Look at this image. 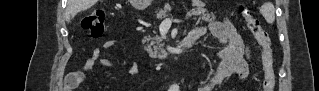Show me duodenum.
I'll use <instances>...</instances> for the list:
<instances>
[{
    "label": "duodenum",
    "instance_id": "410a0bca",
    "mask_svg": "<svg viewBox=\"0 0 319 91\" xmlns=\"http://www.w3.org/2000/svg\"><path fill=\"white\" fill-rule=\"evenodd\" d=\"M198 36L196 35H189L187 36L184 40H182L176 47L175 50L178 51H183V50H188L194 47L196 44ZM169 54L163 55L162 57H167Z\"/></svg>",
    "mask_w": 319,
    "mask_h": 91
}]
</instances>
